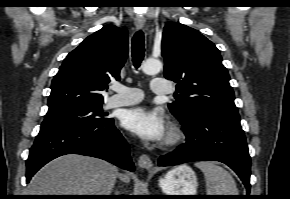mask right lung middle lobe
I'll return each instance as SVG.
<instances>
[{"mask_svg": "<svg viewBox=\"0 0 290 199\" xmlns=\"http://www.w3.org/2000/svg\"><path fill=\"white\" fill-rule=\"evenodd\" d=\"M102 104L103 102L46 114L41 129L105 123L110 118L102 112Z\"/></svg>", "mask_w": 290, "mask_h": 199, "instance_id": "1", "label": "right lung middle lobe"}]
</instances>
